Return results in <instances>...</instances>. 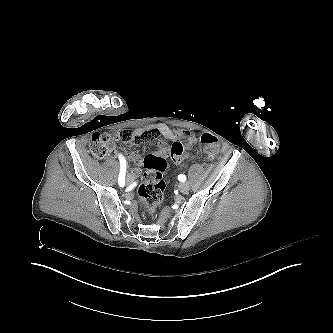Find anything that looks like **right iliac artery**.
I'll return each instance as SVG.
<instances>
[{
  "mask_svg": "<svg viewBox=\"0 0 333 333\" xmlns=\"http://www.w3.org/2000/svg\"><path fill=\"white\" fill-rule=\"evenodd\" d=\"M120 164H121V169H120V174L118 178V184L123 187L125 184V172H126V160L124 156L120 155Z\"/></svg>",
  "mask_w": 333,
  "mask_h": 333,
  "instance_id": "obj_1",
  "label": "right iliac artery"
}]
</instances>
